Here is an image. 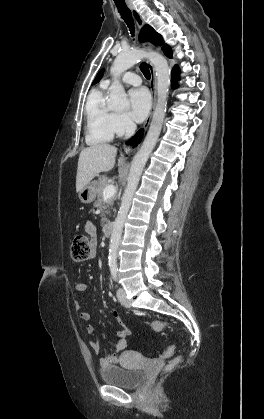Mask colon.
<instances>
[{
  "instance_id": "1",
  "label": "colon",
  "mask_w": 264,
  "mask_h": 419,
  "mask_svg": "<svg viewBox=\"0 0 264 419\" xmlns=\"http://www.w3.org/2000/svg\"><path fill=\"white\" fill-rule=\"evenodd\" d=\"M71 258L76 262L85 261L88 258H90L91 255V245H90V239L88 236L84 234H78L74 237L73 243L71 245ZM170 326V324L166 321L156 320L151 323V328L154 331H161L165 329L166 327ZM175 352V346H169L164 352L163 356L170 357ZM181 357L176 356L172 358L168 365L167 370L173 369L175 366L178 365L180 362Z\"/></svg>"
}]
</instances>
